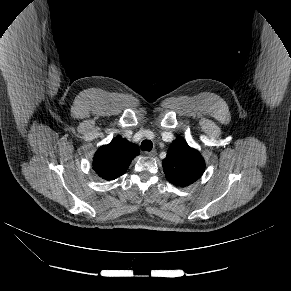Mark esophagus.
Returning a JSON list of instances; mask_svg holds the SVG:
<instances>
[{"instance_id": "esophagus-1", "label": "esophagus", "mask_w": 291, "mask_h": 291, "mask_svg": "<svg viewBox=\"0 0 291 291\" xmlns=\"http://www.w3.org/2000/svg\"><path fill=\"white\" fill-rule=\"evenodd\" d=\"M156 154H157L156 150H152V151L146 153V155L149 157H154V156H156Z\"/></svg>"}]
</instances>
